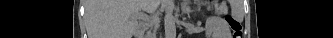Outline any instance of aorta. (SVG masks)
I'll list each match as a JSON object with an SVG mask.
<instances>
[{"instance_id": "1", "label": "aorta", "mask_w": 333, "mask_h": 38, "mask_svg": "<svg viewBox=\"0 0 333 38\" xmlns=\"http://www.w3.org/2000/svg\"><path fill=\"white\" fill-rule=\"evenodd\" d=\"M163 8L165 11L164 26H165V37L176 38V24L175 17L173 15L174 0H163Z\"/></svg>"}]
</instances>
